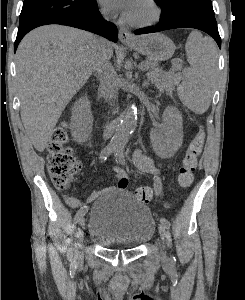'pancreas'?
<instances>
[{
    "label": "pancreas",
    "instance_id": "pancreas-1",
    "mask_svg": "<svg viewBox=\"0 0 245 300\" xmlns=\"http://www.w3.org/2000/svg\"><path fill=\"white\" fill-rule=\"evenodd\" d=\"M147 69H149V81L159 89L160 92H166L171 95L175 86L180 82L182 76L178 71V67H174L172 71L165 72L157 67V62L153 60H146L143 62Z\"/></svg>",
    "mask_w": 245,
    "mask_h": 300
}]
</instances>
